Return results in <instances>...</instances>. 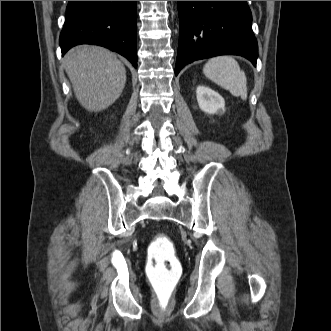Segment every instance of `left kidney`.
Masks as SVG:
<instances>
[{
	"label": "left kidney",
	"instance_id": "5707ae66",
	"mask_svg": "<svg viewBox=\"0 0 331 331\" xmlns=\"http://www.w3.org/2000/svg\"><path fill=\"white\" fill-rule=\"evenodd\" d=\"M196 95L198 105L203 112L215 114L220 109L225 110L224 99L214 90L205 86H198Z\"/></svg>",
	"mask_w": 331,
	"mask_h": 331
}]
</instances>
